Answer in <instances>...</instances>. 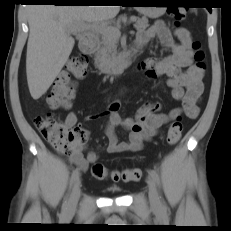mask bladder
<instances>
[{"mask_svg": "<svg viewBox=\"0 0 231 231\" xmlns=\"http://www.w3.org/2000/svg\"><path fill=\"white\" fill-rule=\"evenodd\" d=\"M109 191H111V192H119L120 188H118V187H111V188H109Z\"/></svg>", "mask_w": 231, "mask_h": 231, "instance_id": "1", "label": "bladder"}]
</instances>
